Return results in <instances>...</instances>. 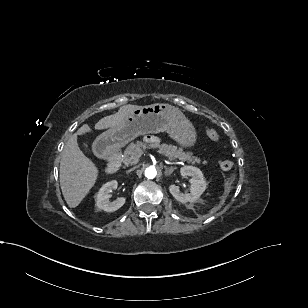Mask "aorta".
<instances>
[{"mask_svg": "<svg viewBox=\"0 0 308 308\" xmlns=\"http://www.w3.org/2000/svg\"><path fill=\"white\" fill-rule=\"evenodd\" d=\"M156 175H157V170L154 166L146 168L145 177H147L148 179H153L156 177Z\"/></svg>", "mask_w": 308, "mask_h": 308, "instance_id": "1", "label": "aorta"}]
</instances>
